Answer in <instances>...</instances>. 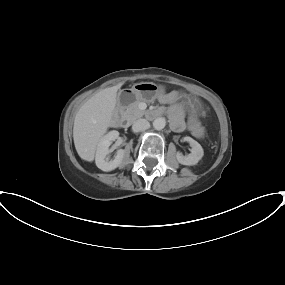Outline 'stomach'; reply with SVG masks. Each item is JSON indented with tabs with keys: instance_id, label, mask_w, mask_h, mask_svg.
I'll list each match as a JSON object with an SVG mask.
<instances>
[{
	"instance_id": "obj_1",
	"label": "stomach",
	"mask_w": 285,
	"mask_h": 285,
	"mask_svg": "<svg viewBox=\"0 0 285 285\" xmlns=\"http://www.w3.org/2000/svg\"><path fill=\"white\" fill-rule=\"evenodd\" d=\"M133 100L150 102L155 99L159 93V87L152 82H142L135 84L132 89ZM181 102L187 113L199 115L202 112V104L198 98L190 95L181 96Z\"/></svg>"
}]
</instances>
